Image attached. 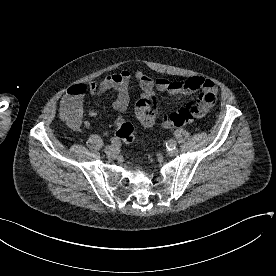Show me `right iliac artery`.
I'll return each instance as SVG.
<instances>
[{
    "label": "right iliac artery",
    "instance_id": "1",
    "mask_svg": "<svg viewBox=\"0 0 276 276\" xmlns=\"http://www.w3.org/2000/svg\"><path fill=\"white\" fill-rule=\"evenodd\" d=\"M111 144H112V146H119L120 142L116 138H112L111 139Z\"/></svg>",
    "mask_w": 276,
    "mask_h": 276
}]
</instances>
